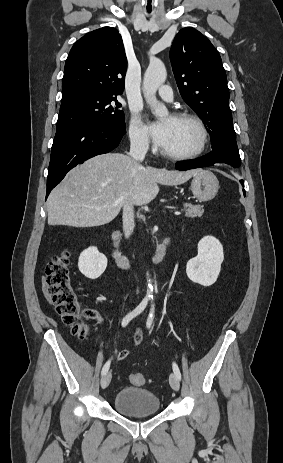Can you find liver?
<instances>
[{
    "label": "liver",
    "mask_w": 283,
    "mask_h": 463,
    "mask_svg": "<svg viewBox=\"0 0 283 463\" xmlns=\"http://www.w3.org/2000/svg\"><path fill=\"white\" fill-rule=\"evenodd\" d=\"M199 169L169 171L143 166L128 155L95 156L72 169L47 200L48 224L95 227L111 222L127 199L135 205L150 203L158 184L180 185Z\"/></svg>",
    "instance_id": "6515ba94"
}]
</instances>
